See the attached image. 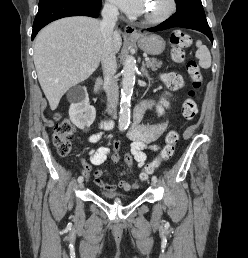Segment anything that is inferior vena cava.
Listing matches in <instances>:
<instances>
[{"label": "inferior vena cava", "mask_w": 248, "mask_h": 258, "mask_svg": "<svg viewBox=\"0 0 248 258\" xmlns=\"http://www.w3.org/2000/svg\"><path fill=\"white\" fill-rule=\"evenodd\" d=\"M118 15V9L114 5L106 3L102 10V21L100 22L103 34L101 63L107 94V111L110 114L116 110L118 103V85L115 78L117 63L112 42L114 27L116 25Z\"/></svg>", "instance_id": "602c4592"}]
</instances>
